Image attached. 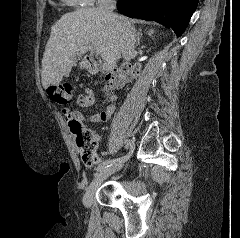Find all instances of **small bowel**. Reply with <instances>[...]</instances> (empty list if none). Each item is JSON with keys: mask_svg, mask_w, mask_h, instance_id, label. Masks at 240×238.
<instances>
[{"mask_svg": "<svg viewBox=\"0 0 240 238\" xmlns=\"http://www.w3.org/2000/svg\"><path fill=\"white\" fill-rule=\"evenodd\" d=\"M104 99L108 100L110 102V104L102 111V112H98L93 114L92 116H90L89 118H87L88 121L92 122V123H102L107 121L115 112L116 110V102H117V98L116 96H104ZM77 103L79 106L81 107H89L92 106L95 103V95L92 89L90 88H86L84 93L80 94L77 97ZM63 114L66 117L67 120L70 119H76L80 122L86 120V118L78 111H72L68 108L63 109ZM95 140L97 143L100 142V137L98 135H95ZM104 159L108 158L107 154L103 155ZM103 158L100 157L99 154H94L93 155V161L95 166H100L101 162L103 161Z\"/></svg>", "mask_w": 240, "mask_h": 238, "instance_id": "c3829d8e", "label": "small bowel"}]
</instances>
